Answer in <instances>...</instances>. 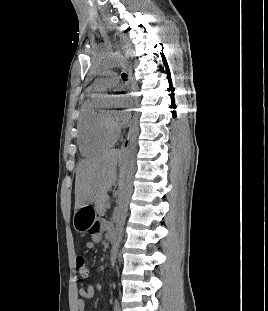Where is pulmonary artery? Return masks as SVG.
Here are the masks:
<instances>
[{"label":"pulmonary artery","instance_id":"e3ab8cb5","mask_svg":"<svg viewBox=\"0 0 268 311\" xmlns=\"http://www.w3.org/2000/svg\"><path fill=\"white\" fill-rule=\"evenodd\" d=\"M119 79L114 72H107L104 77L97 79L94 82L95 89H106L114 87L118 84Z\"/></svg>","mask_w":268,"mask_h":311}]
</instances>
